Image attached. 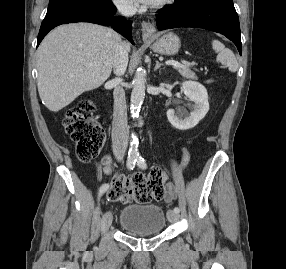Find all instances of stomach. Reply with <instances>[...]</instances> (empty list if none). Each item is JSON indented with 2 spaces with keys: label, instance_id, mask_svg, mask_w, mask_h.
Returning a JSON list of instances; mask_svg holds the SVG:
<instances>
[{
  "label": "stomach",
  "instance_id": "1",
  "mask_svg": "<svg viewBox=\"0 0 286 269\" xmlns=\"http://www.w3.org/2000/svg\"><path fill=\"white\" fill-rule=\"evenodd\" d=\"M145 41L149 42L153 51L163 55H175L178 53L181 42L174 33H166L159 38H148Z\"/></svg>",
  "mask_w": 286,
  "mask_h": 269
}]
</instances>
